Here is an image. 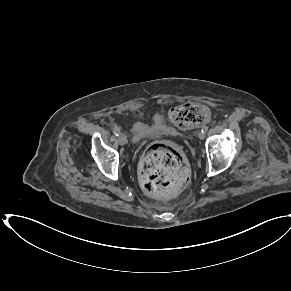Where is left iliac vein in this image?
<instances>
[{
    "label": "left iliac vein",
    "instance_id": "4c4485c4",
    "mask_svg": "<svg viewBox=\"0 0 291 291\" xmlns=\"http://www.w3.org/2000/svg\"><path fill=\"white\" fill-rule=\"evenodd\" d=\"M197 136L199 139L203 140L205 138V133H203L202 131H198Z\"/></svg>",
    "mask_w": 291,
    "mask_h": 291
}]
</instances>
